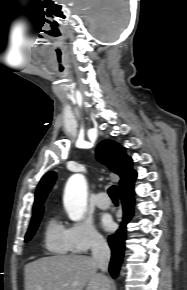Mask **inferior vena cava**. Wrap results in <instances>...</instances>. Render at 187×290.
Segmentation results:
<instances>
[{"label":"inferior vena cava","mask_w":187,"mask_h":290,"mask_svg":"<svg viewBox=\"0 0 187 290\" xmlns=\"http://www.w3.org/2000/svg\"><path fill=\"white\" fill-rule=\"evenodd\" d=\"M91 250L92 259L95 265L101 269L102 272H106L110 261V248L103 237H94Z\"/></svg>","instance_id":"inferior-vena-cava-1"}]
</instances>
